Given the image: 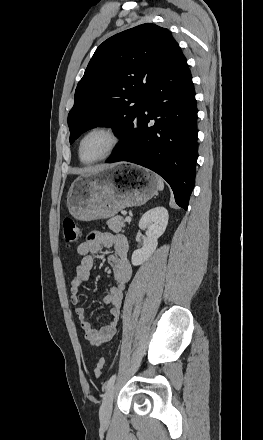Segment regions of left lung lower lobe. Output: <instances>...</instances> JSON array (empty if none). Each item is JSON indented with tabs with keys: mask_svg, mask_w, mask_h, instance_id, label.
I'll use <instances>...</instances> for the list:
<instances>
[{
	"mask_svg": "<svg viewBox=\"0 0 263 440\" xmlns=\"http://www.w3.org/2000/svg\"><path fill=\"white\" fill-rule=\"evenodd\" d=\"M129 135V142L106 162L128 161L156 172L171 186L176 203L187 210L195 184L197 107L191 73L177 42Z\"/></svg>",
	"mask_w": 263,
	"mask_h": 440,
	"instance_id": "obj_1",
	"label": "left lung lower lobe"
}]
</instances>
